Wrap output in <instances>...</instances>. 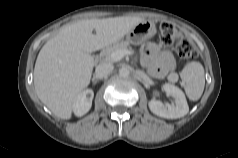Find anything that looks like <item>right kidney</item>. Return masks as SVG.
Masks as SVG:
<instances>
[{
  "mask_svg": "<svg viewBox=\"0 0 238 158\" xmlns=\"http://www.w3.org/2000/svg\"><path fill=\"white\" fill-rule=\"evenodd\" d=\"M94 93L91 89L84 90L77 98L73 111L76 116H83L86 114L91 106Z\"/></svg>",
  "mask_w": 238,
  "mask_h": 158,
  "instance_id": "ca27d5eb",
  "label": "right kidney"
}]
</instances>
